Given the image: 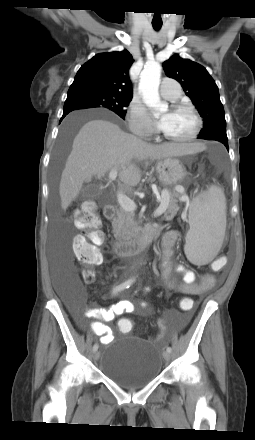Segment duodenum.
<instances>
[{
  "instance_id": "duodenum-1",
  "label": "duodenum",
  "mask_w": 255,
  "mask_h": 440,
  "mask_svg": "<svg viewBox=\"0 0 255 440\" xmlns=\"http://www.w3.org/2000/svg\"><path fill=\"white\" fill-rule=\"evenodd\" d=\"M104 215L107 219H112L115 216L114 205L106 204L104 206ZM160 232V228L155 225L146 226L132 240H116L114 250L121 257L138 254L145 250L159 236Z\"/></svg>"
}]
</instances>
